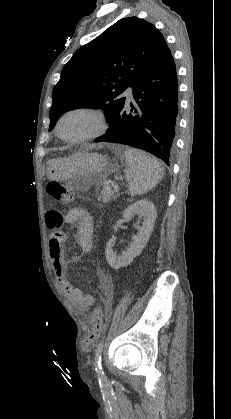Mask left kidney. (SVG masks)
Masks as SVG:
<instances>
[{
    "label": "left kidney",
    "mask_w": 231,
    "mask_h": 419,
    "mask_svg": "<svg viewBox=\"0 0 231 419\" xmlns=\"http://www.w3.org/2000/svg\"><path fill=\"white\" fill-rule=\"evenodd\" d=\"M135 215L141 216L143 218V223L138 234L133 235V242L130 244V247L124 251L122 255L117 256L113 251L115 240L109 239L106 244V259L110 267L114 269L129 265L133 259L142 252L153 231L157 214L152 202L140 200L128 206L123 212V217L127 220H131Z\"/></svg>",
    "instance_id": "left-kidney-1"
}]
</instances>
